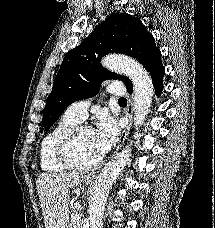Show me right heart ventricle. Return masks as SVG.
Here are the masks:
<instances>
[{
  "instance_id": "right-heart-ventricle-1",
  "label": "right heart ventricle",
  "mask_w": 215,
  "mask_h": 228,
  "mask_svg": "<svg viewBox=\"0 0 215 228\" xmlns=\"http://www.w3.org/2000/svg\"><path fill=\"white\" fill-rule=\"evenodd\" d=\"M79 122V120L72 117L66 111L44 135L39 149L40 167L43 172L48 174H58L68 170L66 166L58 161L55 155V144L58 138L66 130Z\"/></svg>"
}]
</instances>
